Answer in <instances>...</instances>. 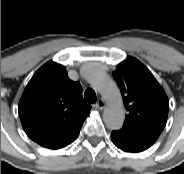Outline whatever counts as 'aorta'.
Here are the masks:
<instances>
[{"label":"aorta","instance_id":"aorta-1","mask_svg":"<svg viewBox=\"0 0 184 174\" xmlns=\"http://www.w3.org/2000/svg\"><path fill=\"white\" fill-rule=\"evenodd\" d=\"M90 82L107 101V107L103 113L106 126L113 130L120 129L123 125L125 114L121 94L117 85L101 71L92 72Z\"/></svg>","mask_w":184,"mask_h":174}]
</instances>
